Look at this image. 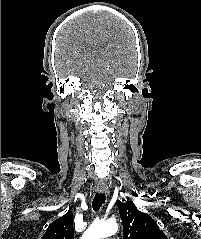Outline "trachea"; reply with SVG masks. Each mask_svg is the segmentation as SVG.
I'll use <instances>...</instances> for the list:
<instances>
[{
	"label": "trachea",
	"mask_w": 201,
	"mask_h": 239,
	"mask_svg": "<svg viewBox=\"0 0 201 239\" xmlns=\"http://www.w3.org/2000/svg\"><path fill=\"white\" fill-rule=\"evenodd\" d=\"M106 196L104 193H96L93 202L92 207L94 211H99L102 205L105 203Z\"/></svg>",
	"instance_id": "3493384b"
}]
</instances>
